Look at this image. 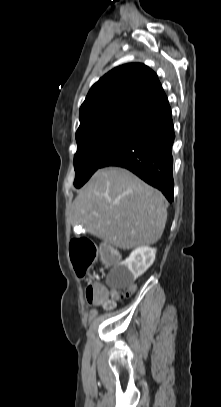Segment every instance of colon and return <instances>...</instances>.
<instances>
[{"label": "colon", "mask_w": 221, "mask_h": 407, "mask_svg": "<svg viewBox=\"0 0 221 407\" xmlns=\"http://www.w3.org/2000/svg\"><path fill=\"white\" fill-rule=\"evenodd\" d=\"M103 255L104 268L113 266V261H121L119 246H102L100 249ZM70 254L76 272L84 276L87 269L93 265L97 259L98 250L96 245L87 238H75L71 242ZM134 291H109L101 284L89 285L86 289V298L89 303L104 305L107 308L114 306L116 300L129 297Z\"/></svg>", "instance_id": "obj_1"}]
</instances>
